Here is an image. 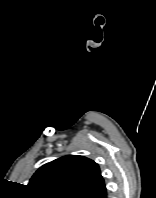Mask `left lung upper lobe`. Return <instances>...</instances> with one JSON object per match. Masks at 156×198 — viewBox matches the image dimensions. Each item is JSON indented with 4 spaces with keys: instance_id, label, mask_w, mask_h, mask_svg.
Instances as JSON below:
<instances>
[{
    "instance_id": "5c2ea615",
    "label": "left lung upper lobe",
    "mask_w": 156,
    "mask_h": 198,
    "mask_svg": "<svg viewBox=\"0 0 156 198\" xmlns=\"http://www.w3.org/2000/svg\"><path fill=\"white\" fill-rule=\"evenodd\" d=\"M28 187L35 198H98L106 191L98 164L78 155L43 165Z\"/></svg>"
}]
</instances>
